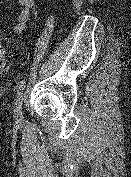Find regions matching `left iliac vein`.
I'll return each instance as SVG.
<instances>
[{"label": "left iliac vein", "instance_id": "1", "mask_svg": "<svg viewBox=\"0 0 131 177\" xmlns=\"http://www.w3.org/2000/svg\"><path fill=\"white\" fill-rule=\"evenodd\" d=\"M22 103H23V98L20 96L17 99L15 106H14V110H13L14 118L16 120H19L22 117Z\"/></svg>", "mask_w": 131, "mask_h": 177}]
</instances>
